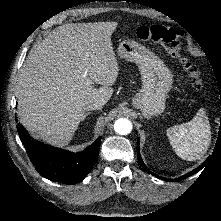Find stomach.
<instances>
[{"label": "stomach", "instance_id": "1", "mask_svg": "<svg viewBox=\"0 0 221 221\" xmlns=\"http://www.w3.org/2000/svg\"><path fill=\"white\" fill-rule=\"evenodd\" d=\"M118 55L136 63L140 70L142 88L133 98V105L145 118L162 114L173 83L170 70L152 51L130 39L119 44Z\"/></svg>", "mask_w": 221, "mask_h": 221}]
</instances>
